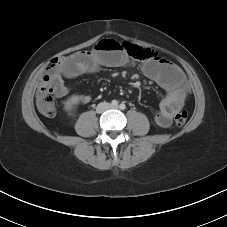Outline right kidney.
Returning a JSON list of instances; mask_svg holds the SVG:
<instances>
[{
    "instance_id": "1",
    "label": "right kidney",
    "mask_w": 227,
    "mask_h": 227,
    "mask_svg": "<svg viewBox=\"0 0 227 227\" xmlns=\"http://www.w3.org/2000/svg\"><path fill=\"white\" fill-rule=\"evenodd\" d=\"M79 103L78 96H72L66 103H65V110L72 111L74 107Z\"/></svg>"
}]
</instances>
